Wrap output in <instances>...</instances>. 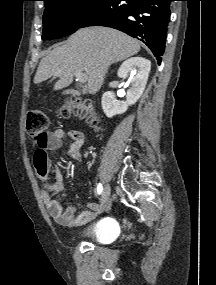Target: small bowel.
Returning <instances> with one entry per match:
<instances>
[{"instance_id":"1","label":"small bowel","mask_w":216,"mask_h":285,"mask_svg":"<svg viewBox=\"0 0 216 285\" xmlns=\"http://www.w3.org/2000/svg\"><path fill=\"white\" fill-rule=\"evenodd\" d=\"M69 138L70 145L66 150V154L73 161L80 163L82 161V146L85 141L84 133L80 130H63L56 129L48 133L47 145L43 149H38L34 155V165L39 178L46 181L48 178L51 161L46 151L58 150L63 145V140ZM55 183L49 186L48 190L43 193V201L49 212V215L59 224L66 227H76L89 222L96 214L100 213L104 208L96 203H89L88 210L82 211L75 216L73 206L64 207L55 196L62 192L65 188L64 177L60 169H55Z\"/></svg>"}]
</instances>
